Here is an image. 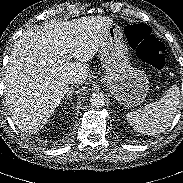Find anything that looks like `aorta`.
Returning <instances> with one entry per match:
<instances>
[{"label": "aorta", "mask_w": 183, "mask_h": 183, "mask_svg": "<svg viewBox=\"0 0 183 183\" xmlns=\"http://www.w3.org/2000/svg\"><path fill=\"white\" fill-rule=\"evenodd\" d=\"M105 96L102 93H93L90 98L92 106L100 108L105 104Z\"/></svg>", "instance_id": "1"}]
</instances>
